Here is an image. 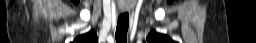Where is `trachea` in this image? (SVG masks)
I'll use <instances>...</instances> for the list:
<instances>
[{
  "instance_id": "obj_1",
  "label": "trachea",
  "mask_w": 256,
  "mask_h": 43,
  "mask_svg": "<svg viewBox=\"0 0 256 43\" xmlns=\"http://www.w3.org/2000/svg\"><path fill=\"white\" fill-rule=\"evenodd\" d=\"M129 27V14L122 13L118 17L117 27H116V42L126 43V36Z\"/></svg>"
}]
</instances>
